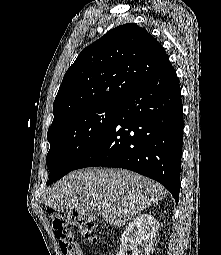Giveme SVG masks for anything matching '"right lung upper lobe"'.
<instances>
[{
    "mask_svg": "<svg viewBox=\"0 0 221 255\" xmlns=\"http://www.w3.org/2000/svg\"><path fill=\"white\" fill-rule=\"evenodd\" d=\"M168 62L161 44L137 24L110 30L82 50L65 73L50 128L79 110L121 103Z\"/></svg>",
    "mask_w": 221,
    "mask_h": 255,
    "instance_id": "cb5924a9",
    "label": "right lung upper lobe"
}]
</instances>
